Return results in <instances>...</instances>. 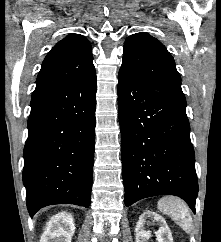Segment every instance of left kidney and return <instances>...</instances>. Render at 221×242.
Instances as JSON below:
<instances>
[{
  "label": "left kidney",
  "mask_w": 221,
  "mask_h": 242,
  "mask_svg": "<svg viewBox=\"0 0 221 242\" xmlns=\"http://www.w3.org/2000/svg\"><path fill=\"white\" fill-rule=\"evenodd\" d=\"M147 219H153L160 226L155 232L158 242H173L171 231L165 219L152 211H145L140 215L135 228L136 242H148L151 237V231L144 230Z\"/></svg>",
  "instance_id": "5707ae66"
}]
</instances>
